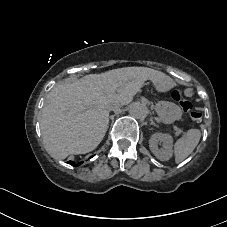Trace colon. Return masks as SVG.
<instances>
[{"mask_svg":"<svg viewBox=\"0 0 227 227\" xmlns=\"http://www.w3.org/2000/svg\"><path fill=\"white\" fill-rule=\"evenodd\" d=\"M172 96L179 102L181 109L186 112L193 121L199 122L202 120V112L199 109H193L191 103L184 98L183 91L180 88L172 90Z\"/></svg>","mask_w":227,"mask_h":227,"instance_id":"obj_1","label":"colon"}]
</instances>
